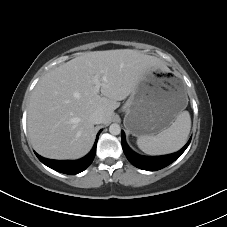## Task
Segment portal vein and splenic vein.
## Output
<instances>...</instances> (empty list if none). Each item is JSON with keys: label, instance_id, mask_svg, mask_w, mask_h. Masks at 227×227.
Here are the masks:
<instances>
[{"label": "portal vein and splenic vein", "instance_id": "1", "mask_svg": "<svg viewBox=\"0 0 227 227\" xmlns=\"http://www.w3.org/2000/svg\"><path fill=\"white\" fill-rule=\"evenodd\" d=\"M93 81H94V83H95V90L98 92V91H99V89H100V86H101V84H100V81H99L98 77H97V76H95V77L93 78Z\"/></svg>", "mask_w": 227, "mask_h": 227}]
</instances>
